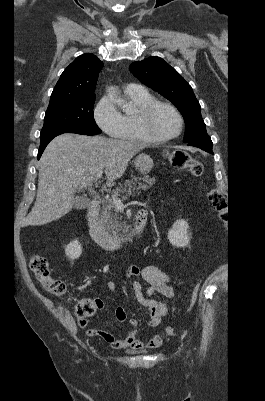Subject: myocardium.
<instances>
[{"label":"myocardium","mask_w":265,"mask_h":401,"mask_svg":"<svg viewBox=\"0 0 265 401\" xmlns=\"http://www.w3.org/2000/svg\"><path fill=\"white\" fill-rule=\"evenodd\" d=\"M158 107H165V108L169 109L170 111H172L176 115V117L179 121V130L175 135L166 137V138H155L154 136L151 135V133L149 131V127H148V120H149V117L152 115V113ZM138 124H139L141 132L143 133V135L145 137V140L149 141V142H155V143L172 141V140L178 138L182 134L183 129H184L183 116L179 112V110L172 104L164 102V101H159V100H155V101L151 102L150 104L145 106L140 111L139 116H138Z\"/></svg>","instance_id":"1"}]
</instances>
